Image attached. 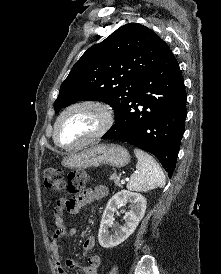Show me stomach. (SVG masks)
<instances>
[{"label": "stomach", "mask_w": 221, "mask_h": 274, "mask_svg": "<svg viewBox=\"0 0 221 274\" xmlns=\"http://www.w3.org/2000/svg\"><path fill=\"white\" fill-rule=\"evenodd\" d=\"M130 161L125 148L116 144L92 145L78 152L70 153L62 161L68 168L98 167L104 164L121 168Z\"/></svg>", "instance_id": "0dacf381"}]
</instances>
